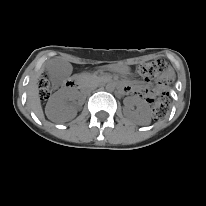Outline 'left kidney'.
Wrapping results in <instances>:
<instances>
[{"instance_id":"5707ae66","label":"left kidney","mask_w":206,"mask_h":206,"mask_svg":"<svg viewBox=\"0 0 206 206\" xmlns=\"http://www.w3.org/2000/svg\"><path fill=\"white\" fill-rule=\"evenodd\" d=\"M136 106L137 110L133 111ZM124 114L133 118L140 125H149L151 122L150 107L147 102L137 97H129L125 100Z\"/></svg>"}]
</instances>
